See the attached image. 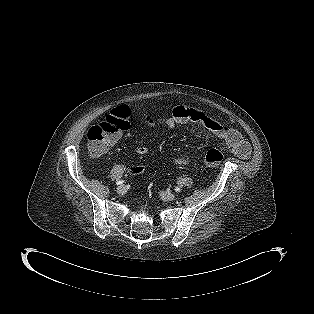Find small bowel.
I'll use <instances>...</instances> for the list:
<instances>
[{"mask_svg": "<svg viewBox=\"0 0 314 314\" xmlns=\"http://www.w3.org/2000/svg\"><path fill=\"white\" fill-rule=\"evenodd\" d=\"M156 121L162 124L164 128L171 130L177 124L194 122L204 127L210 134L221 140L226 146L236 155L243 159H248L251 155L249 143L243 138L242 134L235 128L226 127L220 121L208 115L202 110L189 108L186 105L177 104L170 110L166 108L159 109L155 115ZM150 126L155 125V120L152 117L147 119ZM121 135L117 136L110 146L114 145ZM109 146V147H110ZM149 151L148 146L139 145L135 148V152L139 155H145ZM189 159H175L176 164L184 165L189 163ZM144 171L143 166H132L130 172L138 174Z\"/></svg>", "mask_w": 314, "mask_h": 314, "instance_id": "1", "label": "small bowel"}]
</instances>
